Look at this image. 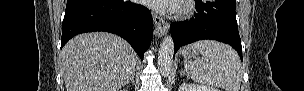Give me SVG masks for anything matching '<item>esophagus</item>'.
Wrapping results in <instances>:
<instances>
[{"label":"esophagus","mask_w":304,"mask_h":91,"mask_svg":"<svg viewBox=\"0 0 304 91\" xmlns=\"http://www.w3.org/2000/svg\"><path fill=\"white\" fill-rule=\"evenodd\" d=\"M153 21L155 24V33L158 37L164 36L169 29V23L166 22L163 18L157 15L155 12L152 13Z\"/></svg>","instance_id":"esophagus-1"}]
</instances>
